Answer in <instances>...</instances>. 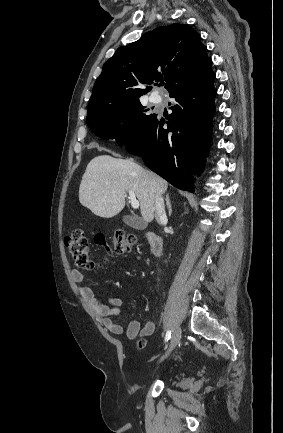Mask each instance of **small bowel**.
I'll return each mask as SVG.
<instances>
[{
  "label": "small bowel",
  "mask_w": 283,
  "mask_h": 433,
  "mask_svg": "<svg viewBox=\"0 0 283 433\" xmlns=\"http://www.w3.org/2000/svg\"><path fill=\"white\" fill-rule=\"evenodd\" d=\"M73 279L78 286L81 297L94 309V311L102 318L105 327L114 334H125L129 339L136 336L149 337L155 330V322L148 320L144 325L139 320H132L126 328L116 322V318L122 315L123 299L120 297L110 298L108 303H102L96 298L92 289L85 285V274L80 270H73Z\"/></svg>",
  "instance_id": "small-bowel-1"
}]
</instances>
